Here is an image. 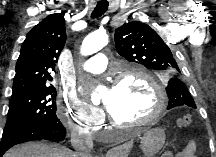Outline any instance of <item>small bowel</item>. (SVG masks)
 Listing matches in <instances>:
<instances>
[{
	"mask_svg": "<svg viewBox=\"0 0 216 157\" xmlns=\"http://www.w3.org/2000/svg\"><path fill=\"white\" fill-rule=\"evenodd\" d=\"M196 151V145L193 141H190L186 146L177 154V157H193ZM168 155H170L168 153Z\"/></svg>",
	"mask_w": 216,
	"mask_h": 157,
	"instance_id": "small-bowel-1",
	"label": "small bowel"
}]
</instances>
